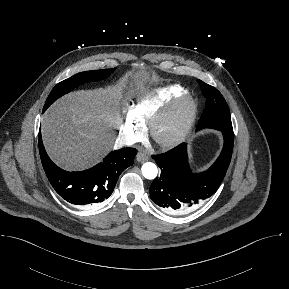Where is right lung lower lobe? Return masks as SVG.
<instances>
[{
	"mask_svg": "<svg viewBox=\"0 0 289 289\" xmlns=\"http://www.w3.org/2000/svg\"><path fill=\"white\" fill-rule=\"evenodd\" d=\"M39 152L44 171L55 191L74 205H93L107 199L120 174L133 165L137 150L123 148L111 152L101 163L82 172H68L48 157L39 134Z\"/></svg>",
	"mask_w": 289,
	"mask_h": 289,
	"instance_id": "obj_1",
	"label": "right lung lower lobe"
}]
</instances>
